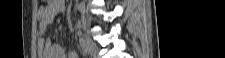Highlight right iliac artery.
<instances>
[{
  "label": "right iliac artery",
  "mask_w": 225,
  "mask_h": 58,
  "mask_svg": "<svg viewBox=\"0 0 225 58\" xmlns=\"http://www.w3.org/2000/svg\"><path fill=\"white\" fill-rule=\"evenodd\" d=\"M79 46L81 48V51L85 55L87 53V50L85 48V42H84L83 38H79Z\"/></svg>",
  "instance_id": "obj_1"
}]
</instances>
